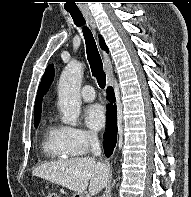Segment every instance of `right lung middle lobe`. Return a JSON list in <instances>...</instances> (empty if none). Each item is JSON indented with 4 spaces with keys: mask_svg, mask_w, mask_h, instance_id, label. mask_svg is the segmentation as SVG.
Listing matches in <instances>:
<instances>
[{
    "mask_svg": "<svg viewBox=\"0 0 191 197\" xmlns=\"http://www.w3.org/2000/svg\"><path fill=\"white\" fill-rule=\"evenodd\" d=\"M38 126V121L37 122H35V127H37Z\"/></svg>",
    "mask_w": 191,
    "mask_h": 197,
    "instance_id": "obj_1",
    "label": "right lung middle lobe"
}]
</instances>
